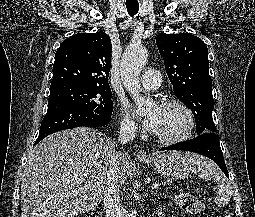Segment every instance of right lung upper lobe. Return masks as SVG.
I'll list each match as a JSON object with an SVG mask.
<instances>
[{"label": "right lung upper lobe", "mask_w": 255, "mask_h": 217, "mask_svg": "<svg viewBox=\"0 0 255 217\" xmlns=\"http://www.w3.org/2000/svg\"><path fill=\"white\" fill-rule=\"evenodd\" d=\"M111 39L106 33H78L64 40L55 54L52 86L82 84L109 87Z\"/></svg>", "instance_id": "cb5924a9"}]
</instances>
